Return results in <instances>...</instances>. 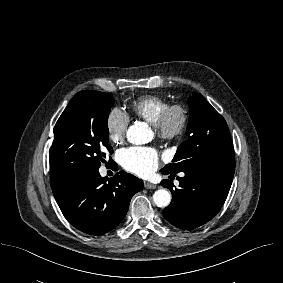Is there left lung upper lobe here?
Instances as JSON below:
<instances>
[{
	"mask_svg": "<svg viewBox=\"0 0 283 283\" xmlns=\"http://www.w3.org/2000/svg\"><path fill=\"white\" fill-rule=\"evenodd\" d=\"M188 139L162 170L177 173L196 165H219L234 160L230 132L224 118L198 93L188 99Z\"/></svg>",
	"mask_w": 283,
	"mask_h": 283,
	"instance_id": "1",
	"label": "left lung upper lobe"
}]
</instances>
